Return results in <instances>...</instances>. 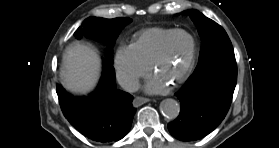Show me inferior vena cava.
<instances>
[{"label":"inferior vena cava","mask_w":279,"mask_h":148,"mask_svg":"<svg viewBox=\"0 0 279 148\" xmlns=\"http://www.w3.org/2000/svg\"><path fill=\"white\" fill-rule=\"evenodd\" d=\"M118 83L127 92H136L140 88L138 79L132 76H119Z\"/></svg>","instance_id":"602c4592"}]
</instances>
